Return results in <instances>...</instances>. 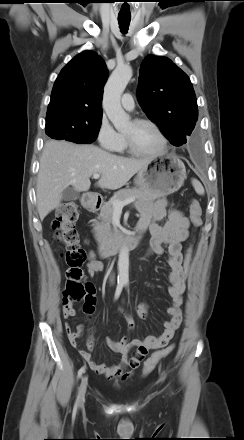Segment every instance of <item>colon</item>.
I'll return each instance as SVG.
<instances>
[{
    "mask_svg": "<svg viewBox=\"0 0 244 440\" xmlns=\"http://www.w3.org/2000/svg\"><path fill=\"white\" fill-rule=\"evenodd\" d=\"M78 217V206L70 201L60 205L52 220L54 237L65 246L64 257L68 265L66 271L65 291L63 297L64 313H73L74 306L78 302H84V308L91 309L94 304V287L91 283L83 280L82 265L86 260V252L79 246L80 237L75 228ZM190 219L195 227L202 224V208L197 200L190 204ZM192 261V246L188 245L183 260V273L187 277ZM174 346L170 345L154 352L144 363L142 375L150 374L156 365L171 354ZM147 350L143 347L137 350V354L144 357Z\"/></svg>",
    "mask_w": 244,
    "mask_h": 440,
    "instance_id": "colon-1",
    "label": "colon"
}]
</instances>
